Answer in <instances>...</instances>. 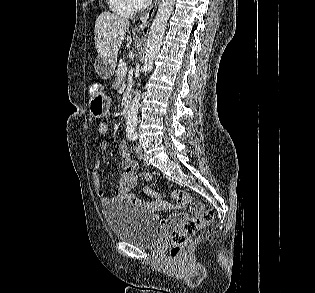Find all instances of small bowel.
I'll list each match as a JSON object with an SVG mask.
<instances>
[{"label":"small bowel","mask_w":315,"mask_h":293,"mask_svg":"<svg viewBox=\"0 0 315 293\" xmlns=\"http://www.w3.org/2000/svg\"><path fill=\"white\" fill-rule=\"evenodd\" d=\"M99 147L102 151H105L108 147V144L106 141H102ZM118 152L122 156L121 173L117 182L115 196L113 198L107 197L102 188L101 180L98 175L101 162L97 160L93 166L92 182L96 195L98 196L99 201L103 207H106L114 202H127L138 207L146 208L151 212H160L181 208L182 205L180 204L173 205L163 200L148 186L143 187V192L148 196L154 197L155 199L153 201H145L139 197H136L131 192V190L136 186L138 181L137 177L138 163L131 158L127 145L124 142L119 143ZM149 178H150L149 174L145 176L146 180H148ZM187 217L188 216L186 213H176L169 216L166 222L168 224H178Z\"/></svg>","instance_id":"small-bowel-1"}]
</instances>
